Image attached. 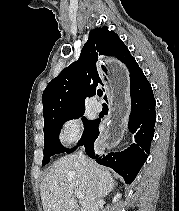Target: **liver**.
<instances>
[{"label":"liver","mask_w":179,"mask_h":211,"mask_svg":"<svg viewBox=\"0 0 179 211\" xmlns=\"http://www.w3.org/2000/svg\"><path fill=\"white\" fill-rule=\"evenodd\" d=\"M85 168L78 154L66 155L55 161L40 185L44 211H76V193L84 195L81 211H96L99 200L115 186L108 170L90 161Z\"/></svg>","instance_id":"6515ba94"}]
</instances>
